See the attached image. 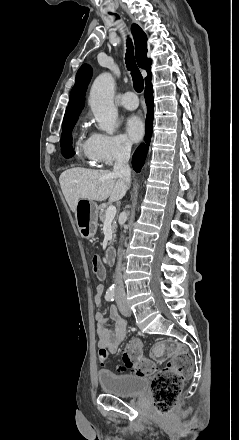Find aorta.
Segmentation results:
<instances>
[{
	"label": "aorta",
	"mask_w": 239,
	"mask_h": 440,
	"mask_svg": "<svg viewBox=\"0 0 239 440\" xmlns=\"http://www.w3.org/2000/svg\"><path fill=\"white\" fill-rule=\"evenodd\" d=\"M114 78L112 74H100L92 84L89 106L98 122L100 130L112 136L118 118V110L114 106Z\"/></svg>",
	"instance_id": "obj_1"
}]
</instances>
